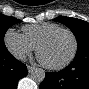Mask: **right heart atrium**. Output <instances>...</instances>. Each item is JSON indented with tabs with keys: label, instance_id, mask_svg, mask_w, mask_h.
I'll use <instances>...</instances> for the list:
<instances>
[{
	"label": "right heart atrium",
	"instance_id": "right-heart-atrium-1",
	"mask_svg": "<svg viewBox=\"0 0 89 89\" xmlns=\"http://www.w3.org/2000/svg\"><path fill=\"white\" fill-rule=\"evenodd\" d=\"M4 45L7 50L19 60H23L36 48L24 37L23 34L13 28L6 30L4 34Z\"/></svg>",
	"mask_w": 89,
	"mask_h": 89
}]
</instances>
